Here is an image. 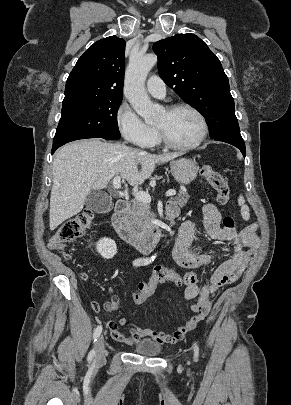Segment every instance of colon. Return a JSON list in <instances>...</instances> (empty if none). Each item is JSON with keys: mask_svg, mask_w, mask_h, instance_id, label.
Listing matches in <instances>:
<instances>
[{"mask_svg": "<svg viewBox=\"0 0 291 405\" xmlns=\"http://www.w3.org/2000/svg\"><path fill=\"white\" fill-rule=\"evenodd\" d=\"M200 174L206 178L211 187L216 191V200L220 205H226L229 201V187L227 178L220 172L214 170L209 164L200 167ZM93 223V212L84 210L76 216L66 220L50 240V247L68 257L65 253L66 246L82 237ZM226 228L233 229L235 222L232 217L226 216L223 220ZM199 282L197 273H179L178 271L165 266H156L148 281L140 283L138 290L133 293V300L141 304L152 296L158 286L164 283H174L177 286L196 285Z\"/></svg>", "mask_w": 291, "mask_h": 405, "instance_id": "1", "label": "colon"}]
</instances>
